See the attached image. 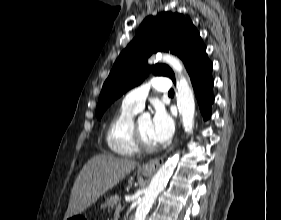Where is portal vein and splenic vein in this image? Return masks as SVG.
I'll return each instance as SVG.
<instances>
[{
  "mask_svg": "<svg viewBox=\"0 0 281 220\" xmlns=\"http://www.w3.org/2000/svg\"><path fill=\"white\" fill-rule=\"evenodd\" d=\"M120 209H121V204L119 203L118 206L116 207V211H115V216H116V217L119 216Z\"/></svg>",
  "mask_w": 281,
  "mask_h": 220,
  "instance_id": "obj_1",
  "label": "portal vein and splenic vein"
}]
</instances>
